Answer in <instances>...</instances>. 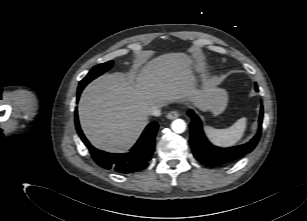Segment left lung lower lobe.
Listing matches in <instances>:
<instances>
[{"mask_svg":"<svg viewBox=\"0 0 307 221\" xmlns=\"http://www.w3.org/2000/svg\"><path fill=\"white\" fill-rule=\"evenodd\" d=\"M258 91V87H255ZM188 115L192 119L190 124V144L193 154L201 163L208 167H216L224 164H229L251 152L257 145L262 129L263 107L261 106L259 116V128L253 139L240 146L230 148H219L209 143L202 130V122L199 117L193 112L188 111Z\"/></svg>","mask_w":307,"mask_h":221,"instance_id":"0a47b994","label":"left lung lower lobe"}]
</instances>
